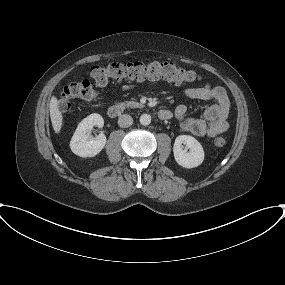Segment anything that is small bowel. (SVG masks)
<instances>
[{"mask_svg": "<svg viewBox=\"0 0 285 285\" xmlns=\"http://www.w3.org/2000/svg\"><path fill=\"white\" fill-rule=\"evenodd\" d=\"M137 85L128 84L121 87L122 91H130ZM186 96L192 99L212 101L201 118L188 116V107L180 104L175 110V117L180 127L200 137H215L224 133L228 127L230 101L224 88L212 86L208 83L199 84L184 89Z\"/></svg>", "mask_w": 285, "mask_h": 285, "instance_id": "obj_1", "label": "small bowel"}]
</instances>
